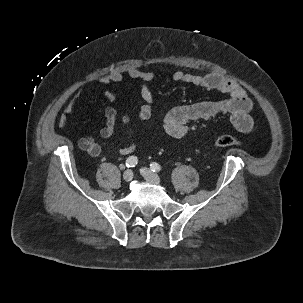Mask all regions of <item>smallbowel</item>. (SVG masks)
<instances>
[{"label": "small bowel", "instance_id": "obj_1", "mask_svg": "<svg viewBox=\"0 0 303 303\" xmlns=\"http://www.w3.org/2000/svg\"><path fill=\"white\" fill-rule=\"evenodd\" d=\"M125 75L132 79L141 81L139 91L141 107L137 119L141 122L147 121L152 115L153 93L149 83L157 77L156 71H142L131 67L125 73L112 71L99 78L101 84H118L124 80ZM176 82L189 83L196 86H202L207 90L218 91L228 95V98L220 101H204L194 104L182 105L170 110L164 119V128L168 135L174 138L186 136L192 129V124L198 120H207L217 115L223 114L230 117L234 128L242 133L250 132L253 128V120L250 116L252 102L247 92L238 83L229 80L217 73L192 74L184 71H176L172 75ZM82 89L67 102L59 118L61 129L68 131L69 116L73 113L77 98L81 95ZM105 96L109 102H113L116 93L113 90H107ZM105 124L99 131V136L107 139L112 136L118 119L125 125H128V131L131 135L135 130L131 124L128 115L119 113L116 108L109 106L106 108ZM78 147L93 157L101 155L102 148L93 136L77 137ZM136 149V143L121 148L119 154L129 155Z\"/></svg>", "mask_w": 303, "mask_h": 303}]
</instances>
